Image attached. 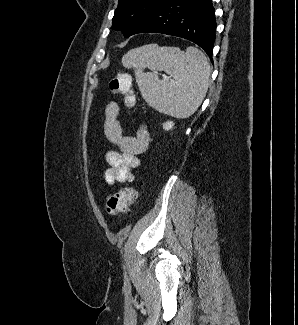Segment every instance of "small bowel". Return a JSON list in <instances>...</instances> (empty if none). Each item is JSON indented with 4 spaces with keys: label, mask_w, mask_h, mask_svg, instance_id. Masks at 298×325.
I'll return each mask as SVG.
<instances>
[{
    "label": "small bowel",
    "mask_w": 298,
    "mask_h": 325,
    "mask_svg": "<svg viewBox=\"0 0 298 325\" xmlns=\"http://www.w3.org/2000/svg\"><path fill=\"white\" fill-rule=\"evenodd\" d=\"M120 113L116 102H109L105 107L104 133L107 140L119 150L108 151L105 159L109 168L104 179L108 185L130 183L134 180L132 170L140 165L139 155L146 151L150 135L145 125H141L136 135L126 136L118 120Z\"/></svg>",
    "instance_id": "obj_1"
}]
</instances>
